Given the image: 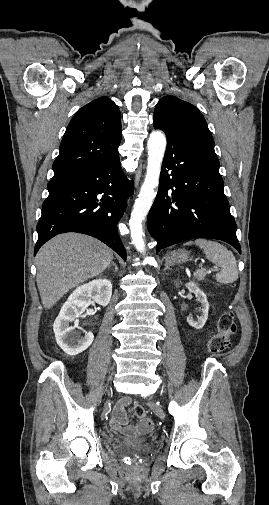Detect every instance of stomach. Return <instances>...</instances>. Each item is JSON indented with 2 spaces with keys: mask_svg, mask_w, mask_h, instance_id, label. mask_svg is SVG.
<instances>
[{
  "mask_svg": "<svg viewBox=\"0 0 269 505\" xmlns=\"http://www.w3.org/2000/svg\"><path fill=\"white\" fill-rule=\"evenodd\" d=\"M189 260V252L185 249H178L166 255L165 261L169 265L183 263Z\"/></svg>",
  "mask_w": 269,
  "mask_h": 505,
  "instance_id": "1",
  "label": "stomach"
}]
</instances>
